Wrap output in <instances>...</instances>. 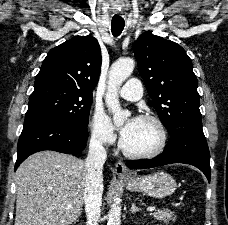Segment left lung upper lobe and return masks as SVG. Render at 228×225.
Here are the masks:
<instances>
[{"label": "left lung upper lobe", "instance_id": "5c2ea615", "mask_svg": "<svg viewBox=\"0 0 228 225\" xmlns=\"http://www.w3.org/2000/svg\"><path fill=\"white\" fill-rule=\"evenodd\" d=\"M133 51L151 97L149 105L168 132L183 127L202 129L197 78L185 50L147 31L135 41Z\"/></svg>", "mask_w": 228, "mask_h": 225}]
</instances>
